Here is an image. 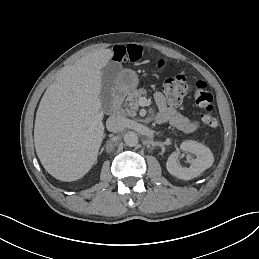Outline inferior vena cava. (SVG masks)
<instances>
[{"label": "inferior vena cava", "mask_w": 259, "mask_h": 259, "mask_svg": "<svg viewBox=\"0 0 259 259\" xmlns=\"http://www.w3.org/2000/svg\"><path fill=\"white\" fill-rule=\"evenodd\" d=\"M125 127V118L121 115H112L106 121V128L114 133L121 132Z\"/></svg>", "instance_id": "inferior-vena-cava-1"}]
</instances>
